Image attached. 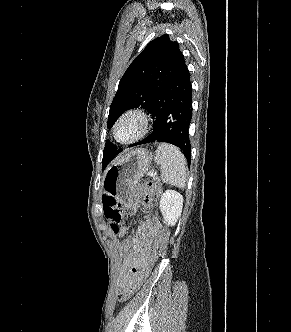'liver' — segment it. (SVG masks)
Wrapping results in <instances>:
<instances>
[{"mask_svg":"<svg viewBox=\"0 0 291 332\" xmlns=\"http://www.w3.org/2000/svg\"><path fill=\"white\" fill-rule=\"evenodd\" d=\"M120 156H118L113 162H116L119 159Z\"/></svg>","mask_w":291,"mask_h":332,"instance_id":"1","label":"liver"}]
</instances>
